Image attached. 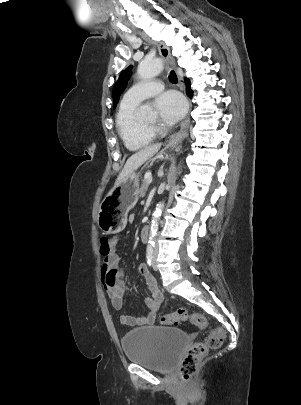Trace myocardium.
I'll list each match as a JSON object with an SVG mask.
<instances>
[{
    "label": "myocardium",
    "instance_id": "1",
    "mask_svg": "<svg viewBox=\"0 0 301 405\" xmlns=\"http://www.w3.org/2000/svg\"><path fill=\"white\" fill-rule=\"evenodd\" d=\"M139 124H140L141 128L148 133L155 134L156 132L159 131V127L156 125V123L146 124L142 120H139Z\"/></svg>",
    "mask_w": 301,
    "mask_h": 405
}]
</instances>
